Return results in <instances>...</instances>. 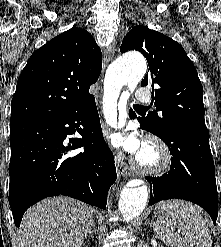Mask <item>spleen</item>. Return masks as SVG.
I'll return each instance as SVG.
<instances>
[{"instance_id": "spleen-1", "label": "spleen", "mask_w": 221, "mask_h": 247, "mask_svg": "<svg viewBox=\"0 0 221 247\" xmlns=\"http://www.w3.org/2000/svg\"><path fill=\"white\" fill-rule=\"evenodd\" d=\"M164 208L167 210V221L160 218L153 226L163 242L178 247H212L208 226L196 206L179 201L166 203ZM171 224L182 230L184 238L170 228Z\"/></svg>"}]
</instances>
